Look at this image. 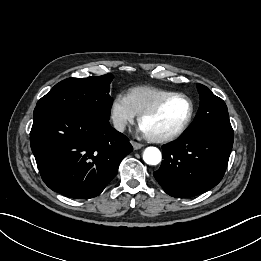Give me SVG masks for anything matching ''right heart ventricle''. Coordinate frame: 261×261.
<instances>
[{"label": "right heart ventricle", "mask_w": 261, "mask_h": 261, "mask_svg": "<svg viewBox=\"0 0 261 261\" xmlns=\"http://www.w3.org/2000/svg\"><path fill=\"white\" fill-rule=\"evenodd\" d=\"M169 93L171 92L157 87L137 86L129 89L126 97L135 114H140L143 110Z\"/></svg>", "instance_id": "1"}]
</instances>
